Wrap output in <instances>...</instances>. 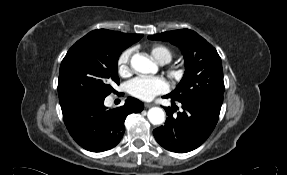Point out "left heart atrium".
Segmentation results:
<instances>
[{"label": "left heart atrium", "instance_id": "1", "mask_svg": "<svg viewBox=\"0 0 287 175\" xmlns=\"http://www.w3.org/2000/svg\"><path fill=\"white\" fill-rule=\"evenodd\" d=\"M169 90L168 82L162 77L138 76L127 84L128 93L140 100L148 101Z\"/></svg>", "mask_w": 287, "mask_h": 175}]
</instances>
